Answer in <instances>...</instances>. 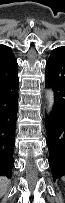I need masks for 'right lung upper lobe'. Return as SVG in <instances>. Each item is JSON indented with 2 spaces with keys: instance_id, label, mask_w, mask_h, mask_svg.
<instances>
[{
  "instance_id": "obj_1",
  "label": "right lung upper lobe",
  "mask_w": 65,
  "mask_h": 203,
  "mask_svg": "<svg viewBox=\"0 0 65 203\" xmlns=\"http://www.w3.org/2000/svg\"><path fill=\"white\" fill-rule=\"evenodd\" d=\"M17 67L11 49L5 45L0 44V70L6 71Z\"/></svg>"
}]
</instances>
